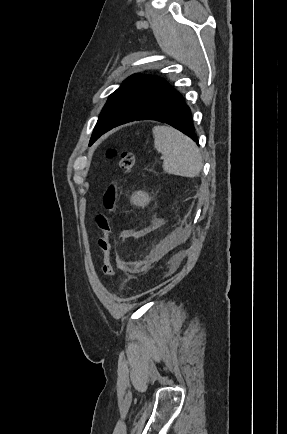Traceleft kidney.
<instances>
[{"mask_svg":"<svg viewBox=\"0 0 287 434\" xmlns=\"http://www.w3.org/2000/svg\"><path fill=\"white\" fill-rule=\"evenodd\" d=\"M132 201L134 204L144 207L149 203L150 198L147 193L139 191L133 195Z\"/></svg>","mask_w":287,"mask_h":434,"instance_id":"1","label":"left kidney"}]
</instances>
